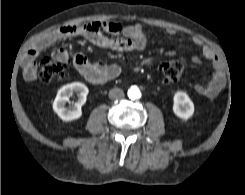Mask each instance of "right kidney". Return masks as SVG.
<instances>
[{
  "instance_id": "1",
  "label": "right kidney",
  "mask_w": 245,
  "mask_h": 195,
  "mask_svg": "<svg viewBox=\"0 0 245 195\" xmlns=\"http://www.w3.org/2000/svg\"><path fill=\"white\" fill-rule=\"evenodd\" d=\"M73 92H76L78 100L73 107H65ZM89 93L88 88L81 82H73L64 85L58 90L57 96L53 102V110L63 121H73L82 116L81 107L86 102Z\"/></svg>"
}]
</instances>
